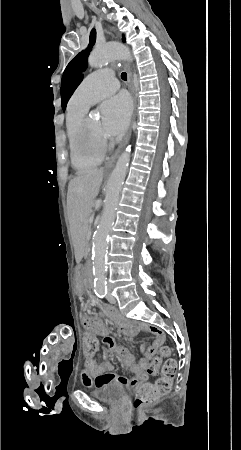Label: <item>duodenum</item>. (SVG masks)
Listing matches in <instances>:
<instances>
[{
	"instance_id": "duodenum-1",
	"label": "duodenum",
	"mask_w": 241,
	"mask_h": 450,
	"mask_svg": "<svg viewBox=\"0 0 241 450\" xmlns=\"http://www.w3.org/2000/svg\"><path fill=\"white\" fill-rule=\"evenodd\" d=\"M87 287L89 290L94 289L93 264L90 260L87 263Z\"/></svg>"
}]
</instances>
